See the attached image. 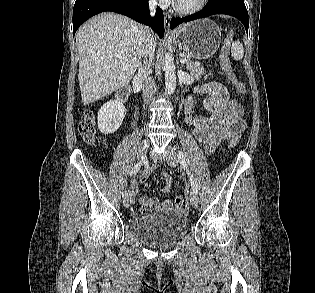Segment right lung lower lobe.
Listing matches in <instances>:
<instances>
[{
	"label": "right lung lower lobe",
	"instance_id": "98d812e1",
	"mask_svg": "<svg viewBox=\"0 0 315 293\" xmlns=\"http://www.w3.org/2000/svg\"><path fill=\"white\" fill-rule=\"evenodd\" d=\"M148 0H76L73 9V33L87 19L104 11L126 15L137 22L150 26L159 37L164 36V18L157 7L155 17H150Z\"/></svg>",
	"mask_w": 315,
	"mask_h": 293
}]
</instances>
